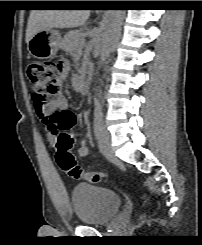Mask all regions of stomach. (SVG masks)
<instances>
[{
  "mask_svg": "<svg viewBox=\"0 0 202 245\" xmlns=\"http://www.w3.org/2000/svg\"><path fill=\"white\" fill-rule=\"evenodd\" d=\"M61 46V36L53 28L37 32L28 42L29 53L37 59L53 57Z\"/></svg>",
  "mask_w": 202,
  "mask_h": 245,
  "instance_id": "stomach-1",
  "label": "stomach"
}]
</instances>
